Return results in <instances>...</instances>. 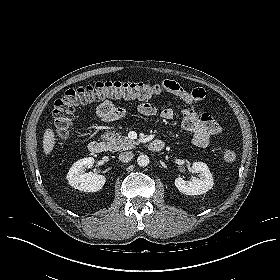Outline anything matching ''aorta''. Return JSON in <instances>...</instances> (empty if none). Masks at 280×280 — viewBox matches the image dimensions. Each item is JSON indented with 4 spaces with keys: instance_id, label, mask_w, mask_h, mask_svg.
Here are the masks:
<instances>
[{
    "instance_id": "obj_1",
    "label": "aorta",
    "mask_w": 280,
    "mask_h": 280,
    "mask_svg": "<svg viewBox=\"0 0 280 280\" xmlns=\"http://www.w3.org/2000/svg\"><path fill=\"white\" fill-rule=\"evenodd\" d=\"M137 164L140 167H146L149 164V157L147 155H144V154L138 156Z\"/></svg>"
}]
</instances>
